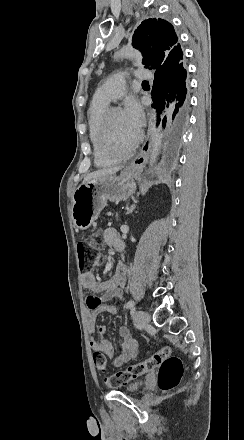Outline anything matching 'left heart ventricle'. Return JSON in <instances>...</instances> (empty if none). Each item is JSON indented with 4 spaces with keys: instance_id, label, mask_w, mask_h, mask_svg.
Listing matches in <instances>:
<instances>
[{
    "instance_id": "obj_1",
    "label": "left heart ventricle",
    "mask_w": 244,
    "mask_h": 440,
    "mask_svg": "<svg viewBox=\"0 0 244 440\" xmlns=\"http://www.w3.org/2000/svg\"><path fill=\"white\" fill-rule=\"evenodd\" d=\"M106 128L110 130L107 136L109 146L126 145L131 138L122 110L112 113L110 124Z\"/></svg>"
}]
</instances>
